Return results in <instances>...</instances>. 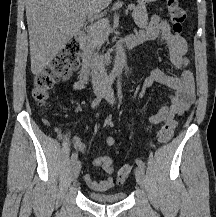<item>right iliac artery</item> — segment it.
<instances>
[{
	"label": "right iliac artery",
	"mask_w": 216,
	"mask_h": 217,
	"mask_svg": "<svg viewBox=\"0 0 216 217\" xmlns=\"http://www.w3.org/2000/svg\"><path fill=\"white\" fill-rule=\"evenodd\" d=\"M114 80H115V75L110 74L108 76V78H107V81H106L104 87H103L102 93L97 98H95L93 100L92 105H91L92 108H95V107H97L99 105V103L104 98V96L109 92ZM77 157H78L77 153L76 152L73 153L72 156H71V162L72 163L75 162L77 160Z\"/></svg>",
	"instance_id": "obj_1"
}]
</instances>
